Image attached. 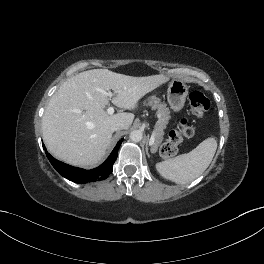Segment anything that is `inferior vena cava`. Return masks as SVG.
<instances>
[{"instance_id":"1","label":"inferior vena cava","mask_w":264,"mask_h":264,"mask_svg":"<svg viewBox=\"0 0 264 264\" xmlns=\"http://www.w3.org/2000/svg\"><path fill=\"white\" fill-rule=\"evenodd\" d=\"M125 128V125L123 123H116L112 126V131H117V130H120V129H124Z\"/></svg>"}]
</instances>
